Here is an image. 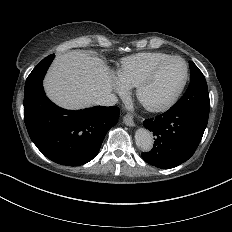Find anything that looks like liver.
Listing matches in <instances>:
<instances>
[{
    "label": "liver",
    "mask_w": 232,
    "mask_h": 232,
    "mask_svg": "<svg viewBox=\"0 0 232 232\" xmlns=\"http://www.w3.org/2000/svg\"><path fill=\"white\" fill-rule=\"evenodd\" d=\"M45 87L56 103L77 108L96 103L103 94L111 91V82L98 58L75 50L56 58Z\"/></svg>",
    "instance_id": "liver-1"
}]
</instances>
